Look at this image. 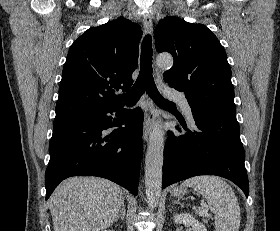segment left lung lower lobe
<instances>
[{"instance_id": "obj_1", "label": "left lung lower lobe", "mask_w": 280, "mask_h": 231, "mask_svg": "<svg viewBox=\"0 0 280 231\" xmlns=\"http://www.w3.org/2000/svg\"><path fill=\"white\" fill-rule=\"evenodd\" d=\"M194 132L182 135L168 132L164 148L162 188L198 175H217L249 193L245 152L240 140L236 114L195 111ZM181 132V129L177 127Z\"/></svg>"}]
</instances>
